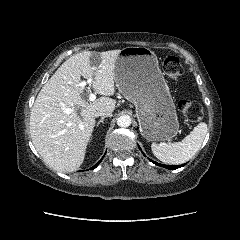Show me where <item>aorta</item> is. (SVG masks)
<instances>
[{
    "mask_svg": "<svg viewBox=\"0 0 240 240\" xmlns=\"http://www.w3.org/2000/svg\"><path fill=\"white\" fill-rule=\"evenodd\" d=\"M117 125L119 127H129L131 125V118L128 115H122L117 119Z\"/></svg>",
    "mask_w": 240,
    "mask_h": 240,
    "instance_id": "1",
    "label": "aorta"
}]
</instances>
